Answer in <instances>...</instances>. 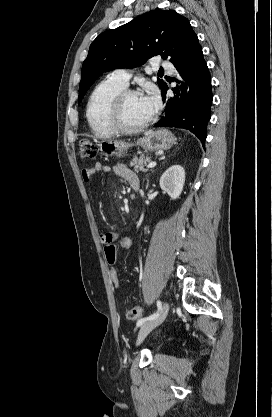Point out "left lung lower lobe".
I'll return each instance as SVG.
<instances>
[{
    "label": "left lung lower lobe",
    "mask_w": 272,
    "mask_h": 417,
    "mask_svg": "<svg viewBox=\"0 0 272 417\" xmlns=\"http://www.w3.org/2000/svg\"><path fill=\"white\" fill-rule=\"evenodd\" d=\"M174 66L187 85L183 84L172 89L175 96L168 99L165 116L154 127L190 130L200 139L204 147L207 124L211 117L212 87L211 76L203 58L201 46ZM167 89L166 84L162 89L163 101H165Z\"/></svg>",
    "instance_id": "1"
}]
</instances>
